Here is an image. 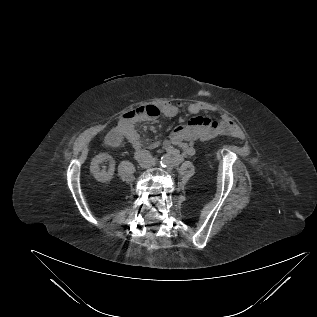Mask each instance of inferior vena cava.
Wrapping results in <instances>:
<instances>
[{"label": "inferior vena cava", "mask_w": 317, "mask_h": 317, "mask_svg": "<svg viewBox=\"0 0 317 317\" xmlns=\"http://www.w3.org/2000/svg\"><path fill=\"white\" fill-rule=\"evenodd\" d=\"M134 158L143 168H148L153 165V157L147 150H137L135 152Z\"/></svg>", "instance_id": "1"}]
</instances>
